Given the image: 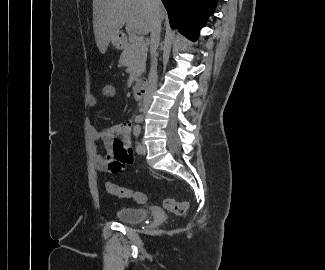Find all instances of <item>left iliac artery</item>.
<instances>
[{
  "label": "left iliac artery",
  "instance_id": "left-iliac-artery-1",
  "mask_svg": "<svg viewBox=\"0 0 325 270\" xmlns=\"http://www.w3.org/2000/svg\"><path fill=\"white\" fill-rule=\"evenodd\" d=\"M140 132H141V127H140V125H136V126H134V128H133V134H134V136H135L136 138L139 137ZM140 150H141V144L137 141V142H136V152L138 153Z\"/></svg>",
  "mask_w": 325,
  "mask_h": 270
}]
</instances>
